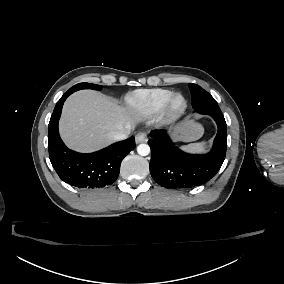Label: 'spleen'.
<instances>
[{"instance_id": "spleen-1", "label": "spleen", "mask_w": 284, "mask_h": 284, "mask_svg": "<svg viewBox=\"0 0 284 284\" xmlns=\"http://www.w3.org/2000/svg\"><path fill=\"white\" fill-rule=\"evenodd\" d=\"M208 146V143L206 142L204 146H201L199 144H190L187 146V149L195 150V149H206Z\"/></svg>"}]
</instances>
